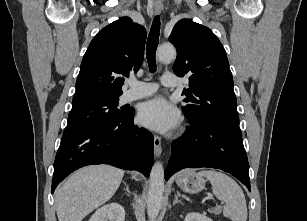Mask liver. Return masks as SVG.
I'll return each instance as SVG.
<instances>
[{"instance_id": "liver-1", "label": "liver", "mask_w": 307, "mask_h": 221, "mask_svg": "<svg viewBox=\"0 0 307 221\" xmlns=\"http://www.w3.org/2000/svg\"><path fill=\"white\" fill-rule=\"evenodd\" d=\"M124 171L109 165H91L74 172L55 192L59 221H82L116 192Z\"/></svg>"}]
</instances>
